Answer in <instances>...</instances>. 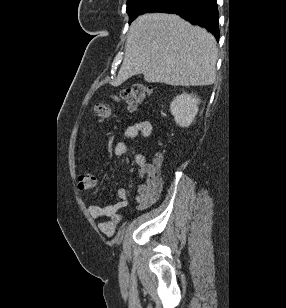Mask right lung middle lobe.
<instances>
[{
  "mask_svg": "<svg viewBox=\"0 0 286 308\" xmlns=\"http://www.w3.org/2000/svg\"><path fill=\"white\" fill-rule=\"evenodd\" d=\"M168 0H127L126 11L131 23L138 15L146 12H152Z\"/></svg>",
  "mask_w": 286,
  "mask_h": 308,
  "instance_id": "obj_1",
  "label": "right lung middle lobe"
}]
</instances>
